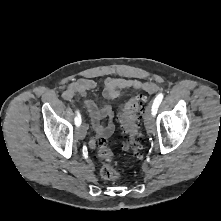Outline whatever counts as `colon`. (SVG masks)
Masks as SVG:
<instances>
[{"instance_id":"obj_1","label":"colon","mask_w":221,"mask_h":221,"mask_svg":"<svg viewBox=\"0 0 221 221\" xmlns=\"http://www.w3.org/2000/svg\"><path fill=\"white\" fill-rule=\"evenodd\" d=\"M145 97L138 95L132 98L122 109L119 116L120 123L128 135V140L123 144L125 151L132 157L138 158L142 150V138L139 132V124L145 105ZM98 155L101 160L100 176L106 181H116L121 174L112 163L113 154L103 140L98 143Z\"/></svg>"}]
</instances>
